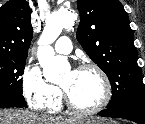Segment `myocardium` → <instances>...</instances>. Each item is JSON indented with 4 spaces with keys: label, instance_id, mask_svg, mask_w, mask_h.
<instances>
[{
    "label": "myocardium",
    "instance_id": "myocardium-1",
    "mask_svg": "<svg viewBox=\"0 0 145 124\" xmlns=\"http://www.w3.org/2000/svg\"><path fill=\"white\" fill-rule=\"evenodd\" d=\"M88 70L95 71L100 76L103 83L104 94L101 101L97 105L89 108L77 106L72 101L67 91L62 86H60L64 102L68 107V109L80 115H92L102 111L110 103V100L112 98V84L110 78L100 66L94 63H83L75 69V71H88Z\"/></svg>",
    "mask_w": 145,
    "mask_h": 124
}]
</instances>
